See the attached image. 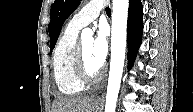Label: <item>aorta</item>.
<instances>
[{
  "mask_svg": "<svg viewBox=\"0 0 193 112\" xmlns=\"http://www.w3.org/2000/svg\"><path fill=\"white\" fill-rule=\"evenodd\" d=\"M128 8V0H113L111 60L105 112H115L116 110L125 60ZM92 35L90 29H84L82 32V38L91 37Z\"/></svg>",
  "mask_w": 193,
  "mask_h": 112,
  "instance_id": "762f6f07",
  "label": "aorta"
}]
</instances>
